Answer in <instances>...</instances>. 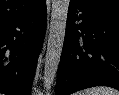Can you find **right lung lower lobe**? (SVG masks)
<instances>
[{
	"label": "right lung lower lobe",
	"instance_id": "98d812e1",
	"mask_svg": "<svg viewBox=\"0 0 119 95\" xmlns=\"http://www.w3.org/2000/svg\"><path fill=\"white\" fill-rule=\"evenodd\" d=\"M46 2L0 25V93L30 95L46 29Z\"/></svg>",
	"mask_w": 119,
	"mask_h": 95
}]
</instances>
